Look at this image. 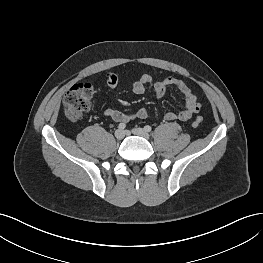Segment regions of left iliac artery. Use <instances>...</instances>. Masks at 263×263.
Instances as JSON below:
<instances>
[{
    "label": "left iliac artery",
    "instance_id": "44dca946",
    "mask_svg": "<svg viewBox=\"0 0 263 263\" xmlns=\"http://www.w3.org/2000/svg\"><path fill=\"white\" fill-rule=\"evenodd\" d=\"M144 129H145L147 132H150V131L152 130L151 126H149V125L144 126Z\"/></svg>",
    "mask_w": 263,
    "mask_h": 263
}]
</instances>
